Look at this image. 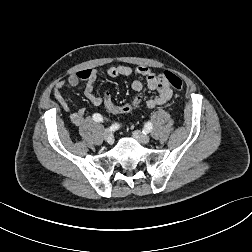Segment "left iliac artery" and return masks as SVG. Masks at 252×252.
<instances>
[{
	"label": "left iliac artery",
	"instance_id": "obj_1",
	"mask_svg": "<svg viewBox=\"0 0 252 252\" xmlns=\"http://www.w3.org/2000/svg\"><path fill=\"white\" fill-rule=\"evenodd\" d=\"M153 129L152 123L150 121H148L145 125H144V130L148 133Z\"/></svg>",
	"mask_w": 252,
	"mask_h": 252
}]
</instances>
